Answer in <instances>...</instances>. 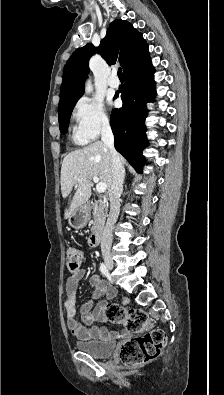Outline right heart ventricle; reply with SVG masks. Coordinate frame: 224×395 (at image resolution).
I'll list each match as a JSON object with an SVG mask.
<instances>
[{
    "mask_svg": "<svg viewBox=\"0 0 224 395\" xmlns=\"http://www.w3.org/2000/svg\"><path fill=\"white\" fill-rule=\"evenodd\" d=\"M73 138H74V140H76V141L79 142V143H85V142L88 141V140H86V139L81 138V137H80L79 135H77L76 133H74Z\"/></svg>",
    "mask_w": 224,
    "mask_h": 395,
    "instance_id": "right-heart-ventricle-1",
    "label": "right heart ventricle"
}]
</instances>
